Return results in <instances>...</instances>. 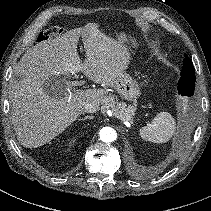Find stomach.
Masks as SVG:
<instances>
[{
  "label": "stomach",
  "instance_id": "0dacf381",
  "mask_svg": "<svg viewBox=\"0 0 211 211\" xmlns=\"http://www.w3.org/2000/svg\"><path fill=\"white\" fill-rule=\"evenodd\" d=\"M120 39L125 41V38L123 37ZM115 89L122 98L128 101H134L140 96V88L138 83L126 72H124L117 79L115 83Z\"/></svg>",
  "mask_w": 211,
  "mask_h": 211
}]
</instances>
